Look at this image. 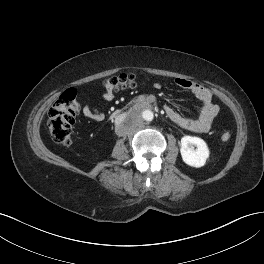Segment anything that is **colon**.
<instances>
[{"instance_id": "5ec220e1", "label": "colon", "mask_w": 264, "mask_h": 264, "mask_svg": "<svg viewBox=\"0 0 264 264\" xmlns=\"http://www.w3.org/2000/svg\"><path fill=\"white\" fill-rule=\"evenodd\" d=\"M138 77L133 74H121L111 77L104 82L105 89L117 93L142 84ZM79 106L76 101V91L73 89L63 92L58 100L53 104L48 115V128L52 139L62 145L71 143L73 126L78 113ZM231 134L224 131L221 134L223 141H228Z\"/></svg>"}]
</instances>
